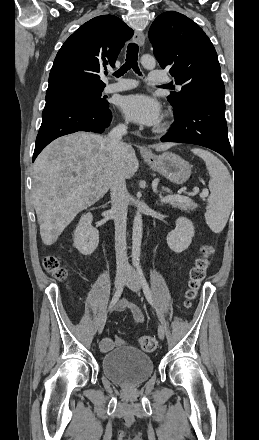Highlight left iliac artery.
<instances>
[{
	"label": "left iliac artery",
	"mask_w": 259,
	"mask_h": 440,
	"mask_svg": "<svg viewBox=\"0 0 259 440\" xmlns=\"http://www.w3.org/2000/svg\"><path fill=\"white\" fill-rule=\"evenodd\" d=\"M136 267H137V272H138V275H139V278H140L141 285L143 287V291H144L145 297L147 298V300L151 304V306L154 307L151 291L149 289V285H148V283H147V281L145 279V276L143 274L142 268H141V266L139 264Z\"/></svg>",
	"instance_id": "obj_1"
}]
</instances>
